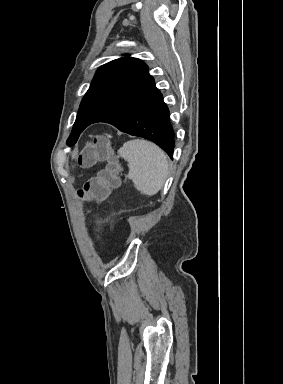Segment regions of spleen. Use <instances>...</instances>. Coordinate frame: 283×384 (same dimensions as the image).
<instances>
[{
	"instance_id": "obj_1",
	"label": "spleen",
	"mask_w": 283,
	"mask_h": 384,
	"mask_svg": "<svg viewBox=\"0 0 283 384\" xmlns=\"http://www.w3.org/2000/svg\"><path fill=\"white\" fill-rule=\"evenodd\" d=\"M118 154L128 162V178L140 194L154 196L163 188L169 166L165 152L156 144L130 140L123 144Z\"/></svg>"
}]
</instances>
